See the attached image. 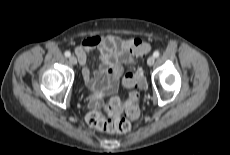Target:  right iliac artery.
<instances>
[{
  "instance_id": "82829eb1",
  "label": "right iliac artery",
  "mask_w": 230,
  "mask_h": 155,
  "mask_svg": "<svg viewBox=\"0 0 230 155\" xmlns=\"http://www.w3.org/2000/svg\"><path fill=\"white\" fill-rule=\"evenodd\" d=\"M64 54L66 57H69L71 55V53L69 51H66Z\"/></svg>"
}]
</instances>
